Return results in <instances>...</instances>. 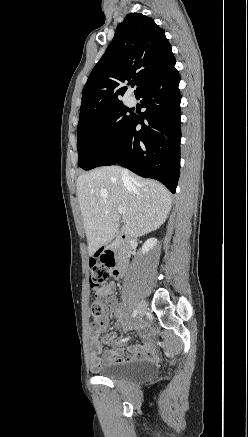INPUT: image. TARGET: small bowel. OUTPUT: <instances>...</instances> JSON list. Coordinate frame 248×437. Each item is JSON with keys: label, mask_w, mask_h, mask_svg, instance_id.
<instances>
[{"label": "small bowel", "mask_w": 248, "mask_h": 437, "mask_svg": "<svg viewBox=\"0 0 248 437\" xmlns=\"http://www.w3.org/2000/svg\"><path fill=\"white\" fill-rule=\"evenodd\" d=\"M116 290V285L114 282H110L104 285L102 288L96 291V297L103 301L108 308L118 309V300L114 295ZM108 326V316L104 315L101 318L95 320L90 327V337H91V359L90 367L92 370L96 371L101 368L103 364L111 363H125L128 361L149 358L153 354V348L149 340V334L147 332L146 326L143 323L139 324L141 335L144 339L142 345H127L126 351L122 347H114L106 350L103 356L99 355L102 353L103 345L100 339V333L102 330L106 329ZM119 340L123 342L116 334H109L104 338L105 342H111Z\"/></svg>", "instance_id": "small-bowel-1"}]
</instances>
